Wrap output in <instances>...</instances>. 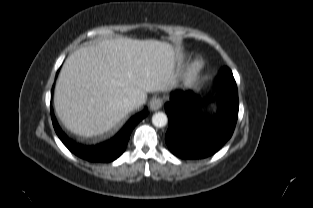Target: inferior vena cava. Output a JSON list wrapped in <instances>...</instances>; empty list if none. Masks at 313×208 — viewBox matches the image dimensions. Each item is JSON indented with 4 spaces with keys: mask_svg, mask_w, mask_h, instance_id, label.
<instances>
[{
    "mask_svg": "<svg viewBox=\"0 0 313 208\" xmlns=\"http://www.w3.org/2000/svg\"><path fill=\"white\" fill-rule=\"evenodd\" d=\"M139 103V100L136 95L134 94H128L122 99V106L126 110H130L137 106Z\"/></svg>",
    "mask_w": 313,
    "mask_h": 208,
    "instance_id": "inferior-vena-cava-1",
    "label": "inferior vena cava"
}]
</instances>
